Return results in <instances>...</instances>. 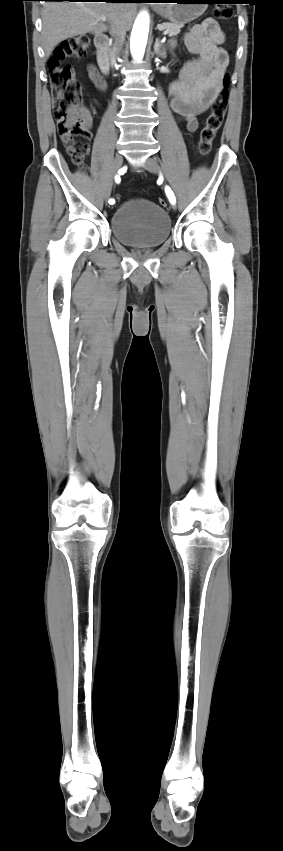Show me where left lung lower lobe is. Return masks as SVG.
<instances>
[{
  "mask_svg": "<svg viewBox=\"0 0 283 851\" xmlns=\"http://www.w3.org/2000/svg\"><path fill=\"white\" fill-rule=\"evenodd\" d=\"M222 1L223 0H214V1H209L208 3H213V4H215V3H230V4L239 3L238 0H224L226 2H222Z\"/></svg>",
  "mask_w": 283,
  "mask_h": 851,
  "instance_id": "0a47b994",
  "label": "left lung lower lobe"
}]
</instances>
